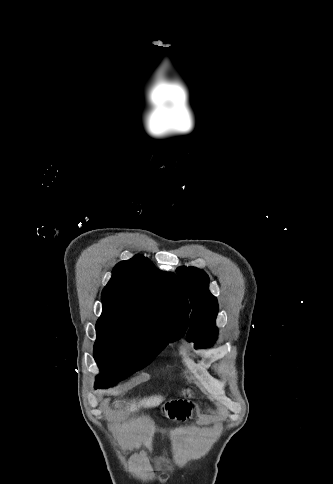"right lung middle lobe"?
<instances>
[{"label": "right lung middle lobe", "instance_id": "1", "mask_svg": "<svg viewBox=\"0 0 333 484\" xmlns=\"http://www.w3.org/2000/svg\"><path fill=\"white\" fill-rule=\"evenodd\" d=\"M94 357L101 370L95 388H108L147 366L172 341L182 337L176 327L153 331L140 323L100 318Z\"/></svg>", "mask_w": 333, "mask_h": 484}]
</instances>
